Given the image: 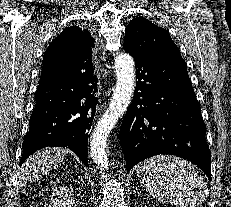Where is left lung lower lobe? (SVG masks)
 <instances>
[{"label":"left lung lower lobe","instance_id":"left-lung-lower-lobe-1","mask_svg":"<svg viewBox=\"0 0 231 207\" xmlns=\"http://www.w3.org/2000/svg\"><path fill=\"white\" fill-rule=\"evenodd\" d=\"M133 57L138 82L119 133L127 171L153 155L170 154L190 160L211 180L206 125L185 61Z\"/></svg>","mask_w":231,"mask_h":207}]
</instances>
